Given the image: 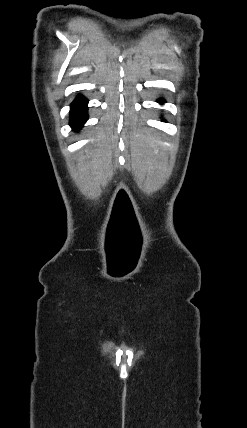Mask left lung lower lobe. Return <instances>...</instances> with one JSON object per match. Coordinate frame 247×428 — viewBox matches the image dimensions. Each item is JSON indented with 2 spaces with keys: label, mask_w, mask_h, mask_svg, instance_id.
Masks as SVG:
<instances>
[{
  "label": "left lung lower lobe",
  "mask_w": 247,
  "mask_h": 428,
  "mask_svg": "<svg viewBox=\"0 0 247 428\" xmlns=\"http://www.w3.org/2000/svg\"><path fill=\"white\" fill-rule=\"evenodd\" d=\"M159 102H160V103H163L164 101H163V100H159Z\"/></svg>",
  "instance_id": "obj_1"
}]
</instances>
